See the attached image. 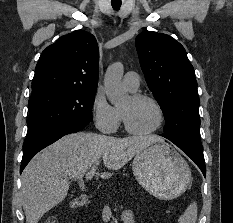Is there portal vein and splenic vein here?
Listing matches in <instances>:
<instances>
[{"label":"portal vein and splenic vein","instance_id":"obj_1","mask_svg":"<svg viewBox=\"0 0 233 223\" xmlns=\"http://www.w3.org/2000/svg\"><path fill=\"white\" fill-rule=\"evenodd\" d=\"M97 167V163H95V165H93V167H91L92 171H94V169H96ZM94 173H91V171H88V173H86V177L85 179H91V177H93ZM65 179H68V177H65Z\"/></svg>","mask_w":233,"mask_h":223}]
</instances>
